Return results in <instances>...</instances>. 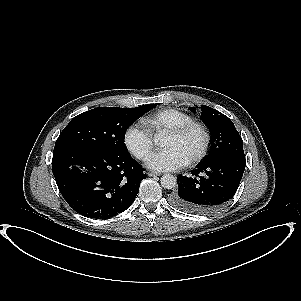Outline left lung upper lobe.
Wrapping results in <instances>:
<instances>
[{
	"instance_id": "5c2ea615",
	"label": "left lung upper lobe",
	"mask_w": 301,
	"mask_h": 301,
	"mask_svg": "<svg viewBox=\"0 0 301 301\" xmlns=\"http://www.w3.org/2000/svg\"><path fill=\"white\" fill-rule=\"evenodd\" d=\"M190 110L195 112L196 108L191 107ZM201 111V120L208 127L212 136L210 153L203 163L211 161L225 152H243L242 138L227 116L206 105H201Z\"/></svg>"
}]
</instances>
